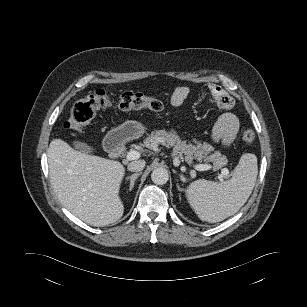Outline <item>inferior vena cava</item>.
<instances>
[{
    "instance_id": "obj_1",
    "label": "inferior vena cava",
    "mask_w": 307,
    "mask_h": 307,
    "mask_svg": "<svg viewBox=\"0 0 307 307\" xmlns=\"http://www.w3.org/2000/svg\"><path fill=\"white\" fill-rule=\"evenodd\" d=\"M145 164L146 162L144 160H136V161L130 162L128 164V170L133 171V172L142 171L145 167Z\"/></svg>"
}]
</instances>
